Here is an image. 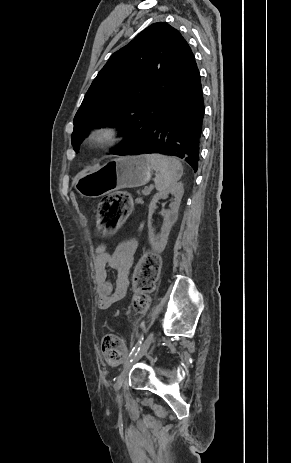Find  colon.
Instances as JSON below:
<instances>
[{
  "label": "colon",
  "mask_w": 291,
  "mask_h": 463,
  "mask_svg": "<svg viewBox=\"0 0 291 463\" xmlns=\"http://www.w3.org/2000/svg\"><path fill=\"white\" fill-rule=\"evenodd\" d=\"M132 206V199L126 192L120 191L105 196L98 205V231L102 234L116 231L125 221ZM159 267L160 259L156 254H147L141 259L134 277V305L137 310H143L147 306L146 293L152 289ZM101 348L103 357L109 364L117 365L123 361V343L116 334H106Z\"/></svg>",
  "instance_id": "1"
}]
</instances>
